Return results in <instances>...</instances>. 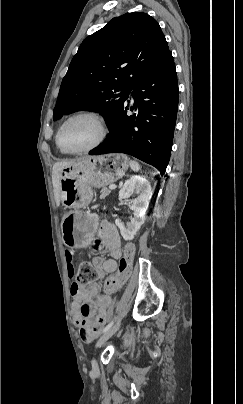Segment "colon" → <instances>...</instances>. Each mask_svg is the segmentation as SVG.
<instances>
[{"instance_id": "obj_1", "label": "colon", "mask_w": 243, "mask_h": 404, "mask_svg": "<svg viewBox=\"0 0 243 404\" xmlns=\"http://www.w3.org/2000/svg\"><path fill=\"white\" fill-rule=\"evenodd\" d=\"M134 253V244L128 243L125 246L123 256L119 260L117 272L107 278L105 282V291L108 294L114 293L115 291L120 289L127 281L130 275ZM97 278L98 272L92 263L84 261L79 265L77 273V282L79 284H90L96 281Z\"/></svg>"}]
</instances>
